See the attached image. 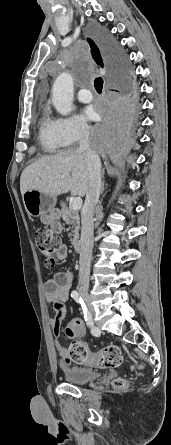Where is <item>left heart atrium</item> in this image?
<instances>
[{
    "label": "left heart atrium",
    "instance_id": "obj_1",
    "mask_svg": "<svg viewBox=\"0 0 171 445\" xmlns=\"http://www.w3.org/2000/svg\"><path fill=\"white\" fill-rule=\"evenodd\" d=\"M83 116L86 120H95L97 118V113L91 107L84 110Z\"/></svg>",
    "mask_w": 171,
    "mask_h": 445
}]
</instances>
